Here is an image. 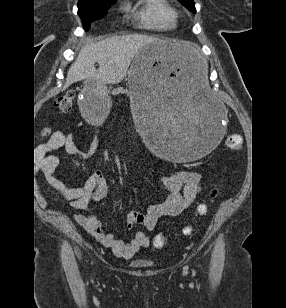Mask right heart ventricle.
Listing matches in <instances>:
<instances>
[{"instance_id":"1","label":"right heart ventricle","mask_w":286,"mask_h":308,"mask_svg":"<svg viewBox=\"0 0 286 308\" xmlns=\"http://www.w3.org/2000/svg\"><path fill=\"white\" fill-rule=\"evenodd\" d=\"M124 9L142 29L168 31L177 27L179 13L170 0H138Z\"/></svg>"}]
</instances>
